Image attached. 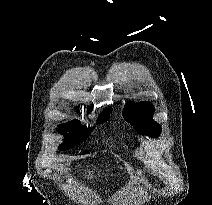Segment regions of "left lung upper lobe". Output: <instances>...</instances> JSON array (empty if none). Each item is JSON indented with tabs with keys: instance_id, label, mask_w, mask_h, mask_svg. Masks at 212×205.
Masks as SVG:
<instances>
[{
	"instance_id": "5c2ea615",
	"label": "left lung upper lobe",
	"mask_w": 212,
	"mask_h": 205,
	"mask_svg": "<svg viewBox=\"0 0 212 205\" xmlns=\"http://www.w3.org/2000/svg\"><path fill=\"white\" fill-rule=\"evenodd\" d=\"M155 108L149 102H129L123 110V117L130 122L139 133L157 137L161 133L160 125L152 119Z\"/></svg>"
}]
</instances>
